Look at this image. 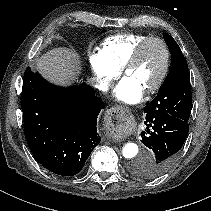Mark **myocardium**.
<instances>
[{"label":"myocardium","instance_id":"obj_1","mask_svg":"<svg viewBox=\"0 0 211 211\" xmlns=\"http://www.w3.org/2000/svg\"><path fill=\"white\" fill-rule=\"evenodd\" d=\"M150 43H157L161 47L163 54H164L162 71H161L157 81L146 90V93L153 94V93L157 92L162 87V85L164 84V82L168 76L169 70H170L171 54H170L168 45L162 38L157 37V36H148V37L144 38L142 41H140L134 48V50L131 53V55L129 56V58L127 59L125 65L123 67V72L126 74L127 70L137 63L142 51Z\"/></svg>","mask_w":211,"mask_h":211}]
</instances>
